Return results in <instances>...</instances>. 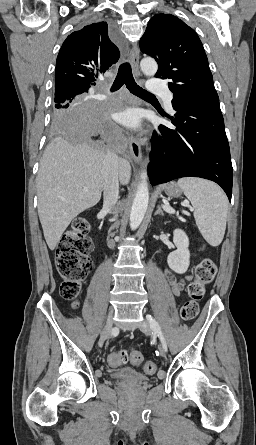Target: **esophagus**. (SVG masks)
I'll return each instance as SVG.
<instances>
[{
  "mask_svg": "<svg viewBox=\"0 0 256 445\" xmlns=\"http://www.w3.org/2000/svg\"><path fill=\"white\" fill-rule=\"evenodd\" d=\"M129 60L131 62L134 72L137 74L139 71V48L134 45L129 54ZM129 151L133 160L137 163L141 161V144L140 141L133 136H128Z\"/></svg>",
  "mask_w": 256,
  "mask_h": 445,
  "instance_id": "obj_1",
  "label": "esophagus"
}]
</instances>
